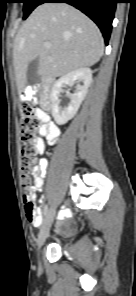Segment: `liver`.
Returning <instances> with one entry per match:
<instances>
[{
	"label": "liver",
	"instance_id": "liver-1",
	"mask_svg": "<svg viewBox=\"0 0 136 296\" xmlns=\"http://www.w3.org/2000/svg\"><path fill=\"white\" fill-rule=\"evenodd\" d=\"M49 42L50 48L44 47ZM99 28L78 9L66 3H44L30 14L18 31L13 63L18 93L27 82V68L39 58V76L54 79L92 66L103 55Z\"/></svg>",
	"mask_w": 136,
	"mask_h": 296
}]
</instances>
